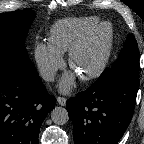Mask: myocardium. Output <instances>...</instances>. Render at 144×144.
Wrapping results in <instances>:
<instances>
[{"label": "myocardium", "instance_id": "1", "mask_svg": "<svg viewBox=\"0 0 144 144\" xmlns=\"http://www.w3.org/2000/svg\"><path fill=\"white\" fill-rule=\"evenodd\" d=\"M107 29V40H106V48L105 52L98 63V65L92 69L91 71L79 74V78L82 81H91L93 79L98 78L105 71L108 62L111 58L113 48H114V31L112 25L108 22L98 23L96 26L87 30L84 34H82L70 47L68 51V65L71 69H73V63L77 54L81 51V49L86 45V43L91 39V37L97 32Z\"/></svg>", "mask_w": 144, "mask_h": 144}]
</instances>
